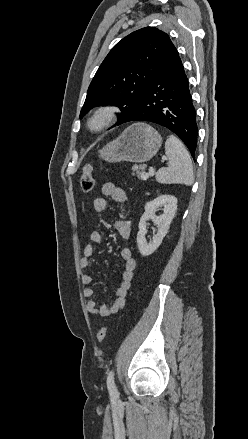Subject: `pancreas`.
Here are the masks:
<instances>
[{"label":"pancreas","instance_id":"pancreas-1","mask_svg":"<svg viewBox=\"0 0 248 439\" xmlns=\"http://www.w3.org/2000/svg\"><path fill=\"white\" fill-rule=\"evenodd\" d=\"M132 170H133V174H134V175L136 174L137 177H138V178H141V179H142L143 174H145V172H144L145 167L142 166V165L134 166V167L132 168Z\"/></svg>","mask_w":248,"mask_h":439}]
</instances>
